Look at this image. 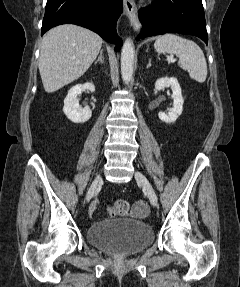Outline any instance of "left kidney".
<instances>
[{"label":"left kidney","instance_id":"left-kidney-1","mask_svg":"<svg viewBox=\"0 0 240 287\" xmlns=\"http://www.w3.org/2000/svg\"><path fill=\"white\" fill-rule=\"evenodd\" d=\"M165 87H171L172 89L173 108L169 109L168 113L159 112L158 117L165 123H173L182 114L184 99L182 97L181 87L175 77H162L157 79L155 89L161 90Z\"/></svg>","mask_w":240,"mask_h":287}]
</instances>
